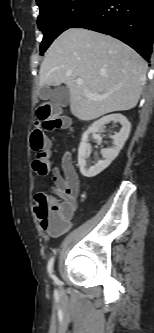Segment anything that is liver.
Masks as SVG:
<instances>
[{
  "label": "liver",
  "mask_w": 154,
  "mask_h": 333,
  "mask_svg": "<svg viewBox=\"0 0 154 333\" xmlns=\"http://www.w3.org/2000/svg\"><path fill=\"white\" fill-rule=\"evenodd\" d=\"M146 72V61L125 43L92 30L70 28L47 50L40 66L39 86L64 83L70 92L71 113L90 121L134 108ZM76 79H82V85L76 84ZM84 90L104 98L90 99Z\"/></svg>",
  "instance_id": "liver-1"
}]
</instances>
